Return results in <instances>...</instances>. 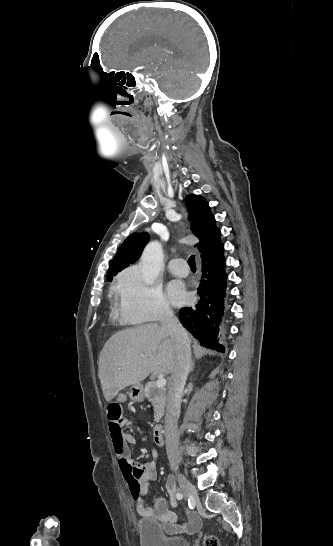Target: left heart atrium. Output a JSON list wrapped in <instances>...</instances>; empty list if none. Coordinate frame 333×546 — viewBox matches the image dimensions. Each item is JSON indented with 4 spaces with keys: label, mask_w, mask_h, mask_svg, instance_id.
<instances>
[{
    "label": "left heart atrium",
    "mask_w": 333,
    "mask_h": 546,
    "mask_svg": "<svg viewBox=\"0 0 333 546\" xmlns=\"http://www.w3.org/2000/svg\"><path fill=\"white\" fill-rule=\"evenodd\" d=\"M168 295L173 304L180 305L187 299V293L183 284L179 281H173L168 286Z\"/></svg>",
    "instance_id": "left-heart-atrium-1"
}]
</instances>
